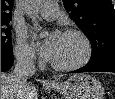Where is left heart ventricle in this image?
I'll return each mask as SVG.
<instances>
[{"label": "left heart ventricle", "instance_id": "b2bd125f", "mask_svg": "<svg viewBox=\"0 0 115 99\" xmlns=\"http://www.w3.org/2000/svg\"><path fill=\"white\" fill-rule=\"evenodd\" d=\"M83 52L84 47L79 38L63 35L52 61L58 64L73 63L81 58Z\"/></svg>", "mask_w": 115, "mask_h": 99}]
</instances>
